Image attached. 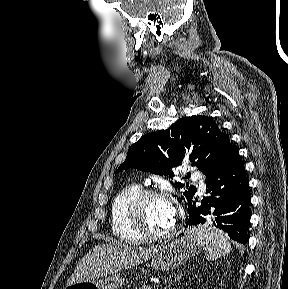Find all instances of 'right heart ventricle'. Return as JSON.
Listing matches in <instances>:
<instances>
[{"mask_svg": "<svg viewBox=\"0 0 288 289\" xmlns=\"http://www.w3.org/2000/svg\"><path fill=\"white\" fill-rule=\"evenodd\" d=\"M141 190L136 183L125 185L113 198L110 207V222L113 235L124 244H141L144 239L137 235L128 225L126 209L130 201Z\"/></svg>", "mask_w": 288, "mask_h": 289, "instance_id": "e07e8e85", "label": "right heart ventricle"}]
</instances>
